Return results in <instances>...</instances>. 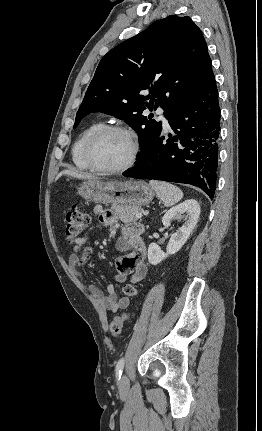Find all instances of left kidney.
Instances as JSON below:
<instances>
[{
    "label": "left kidney",
    "instance_id": "1",
    "mask_svg": "<svg viewBox=\"0 0 262 431\" xmlns=\"http://www.w3.org/2000/svg\"><path fill=\"white\" fill-rule=\"evenodd\" d=\"M200 216V206L196 200H186L185 202L168 210L163 218L164 226H170L174 220L184 219V224L174 233L167 245L166 253L156 243H151L148 247V261L152 265H157L169 255L177 253L186 243L193 232Z\"/></svg>",
    "mask_w": 262,
    "mask_h": 431
}]
</instances>
